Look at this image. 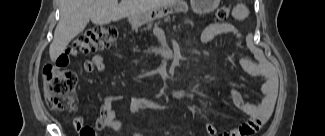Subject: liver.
<instances>
[{"label":"liver","instance_id":"liver-1","mask_svg":"<svg viewBox=\"0 0 325 136\" xmlns=\"http://www.w3.org/2000/svg\"><path fill=\"white\" fill-rule=\"evenodd\" d=\"M171 0H61L60 20L50 44L49 54L55 61L72 39L80 34L91 20L94 24H108L125 17H133L173 3Z\"/></svg>","mask_w":325,"mask_h":136}]
</instances>
